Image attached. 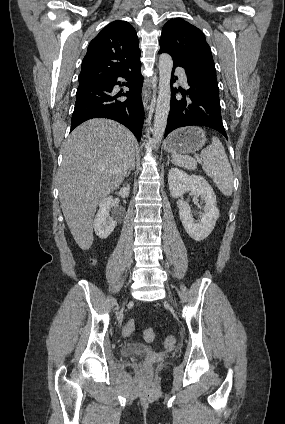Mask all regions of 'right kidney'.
Returning a JSON list of instances; mask_svg holds the SVG:
<instances>
[{"instance_id":"1","label":"right kidney","mask_w":285,"mask_h":424,"mask_svg":"<svg viewBox=\"0 0 285 424\" xmlns=\"http://www.w3.org/2000/svg\"><path fill=\"white\" fill-rule=\"evenodd\" d=\"M130 193V185L127 184L120 189L119 195L123 198L128 197ZM113 198L111 196L104 198L99 204V210L94 219V230L96 235L101 239H106L115 229L117 224L109 217V210L112 206ZM109 220V221H107Z\"/></svg>"}]
</instances>
